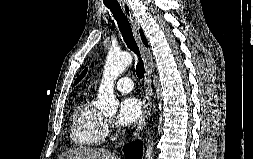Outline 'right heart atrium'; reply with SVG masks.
<instances>
[{"instance_id": "right-heart-atrium-1", "label": "right heart atrium", "mask_w": 253, "mask_h": 159, "mask_svg": "<svg viewBox=\"0 0 253 159\" xmlns=\"http://www.w3.org/2000/svg\"><path fill=\"white\" fill-rule=\"evenodd\" d=\"M114 131V124L110 120H106V135H110Z\"/></svg>"}]
</instances>
